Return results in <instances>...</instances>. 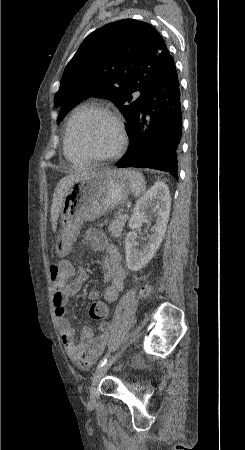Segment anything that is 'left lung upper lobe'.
<instances>
[{
    "label": "left lung upper lobe",
    "mask_w": 245,
    "mask_h": 450,
    "mask_svg": "<svg viewBox=\"0 0 245 450\" xmlns=\"http://www.w3.org/2000/svg\"><path fill=\"white\" fill-rule=\"evenodd\" d=\"M170 57L164 40L148 23L123 19L95 30L64 70L54 99L55 107H61L57 122L77 102L100 96L118 106L128 133L150 85ZM136 91L141 93L137 98Z\"/></svg>",
    "instance_id": "5c2ea615"
}]
</instances>
